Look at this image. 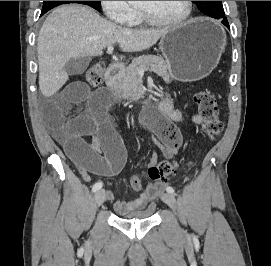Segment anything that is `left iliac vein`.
Masks as SVG:
<instances>
[{
  "label": "left iliac vein",
  "instance_id": "obj_1",
  "mask_svg": "<svg viewBox=\"0 0 271 266\" xmlns=\"http://www.w3.org/2000/svg\"><path fill=\"white\" fill-rule=\"evenodd\" d=\"M162 200L174 211L175 214L178 213V205L175 197L172 194L170 193L163 194Z\"/></svg>",
  "mask_w": 271,
  "mask_h": 266
}]
</instances>
